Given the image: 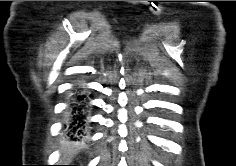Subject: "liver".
<instances>
[{"label":"liver","mask_w":236,"mask_h":166,"mask_svg":"<svg viewBox=\"0 0 236 166\" xmlns=\"http://www.w3.org/2000/svg\"><path fill=\"white\" fill-rule=\"evenodd\" d=\"M61 150L64 153V158L68 155H72L75 152V149L72 146H62Z\"/></svg>","instance_id":"liver-1"}]
</instances>
